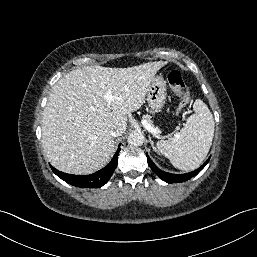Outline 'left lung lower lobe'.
I'll return each instance as SVG.
<instances>
[{
	"mask_svg": "<svg viewBox=\"0 0 257 257\" xmlns=\"http://www.w3.org/2000/svg\"><path fill=\"white\" fill-rule=\"evenodd\" d=\"M147 156V160H148V164L150 166V168L165 182L167 183H180V182H184L187 181L189 179H191L193 176L197 175L208 163L209 159L198 169H196L195 171H192L190 173H186V174H181V175H176V174H171V173H167L164 172L162 170H160L153 162L152 160L149 158L148 154H146Z\"/></svg>",
	"mask_w": 257,
	"mask_h": 257,
	"instance_id": "1",
	"label": "left lung lower lobe"
}]
</instances>
